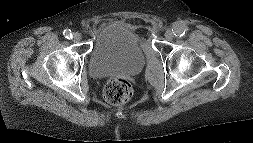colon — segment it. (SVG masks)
<instances>
[{"label": "colon", "mask_w": 253, "mask_h": 143, "mask_svg": "<svg viewBox=\"0 0 253 143\" xmlns=\"http://www.w3.org/2000/svg\"><path fill=\"white\" fill-rule=\"evenodd\" d=\"M131 84L121 78L110 80L104 89L105 100L113 105L126 103L132 96Z\"/></svg>", "instance_id": "5ec220e1"}]
</instances>
